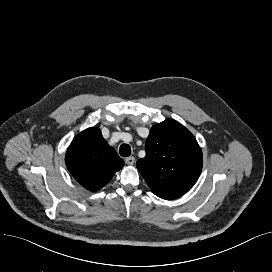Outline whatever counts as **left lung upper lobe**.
<instances>
[{
	"instance_id": "left-lung-upper-lobe-1",
	"label": "left lung upper lobe",
	"mask_w": 272,
	"mask_h": 272,
	"mask_svg": "<svg viewBox=\"0 0 272 272\" xmlns=\"http://www.w3.org/2000/svg\"><path fill=\"white\" fill-rule=\"evenodd\" d=\"M146 156L136 166L155 195L178 198L197 181L202 152L193 134L173 119L154 125L145 145Z\"/></svg>"
}]
</instances>
